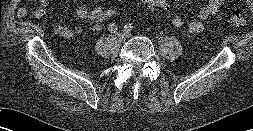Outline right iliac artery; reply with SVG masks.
<instances>
[{"mask_svg": "<svg viewBox=\"0 0 253 131\" xmlns=\"http://www.w3.org/2000/svg\"><path fill=\"white\" fill-rule=\"evenodd\" d=\"M108 30L111 33H115L118 30V25L116 23L112 22V23L109 24Z\"/></svg>", "mask_w": 253, "mask_h": 131, "instance_id": "obj_1", "label": "right iliac artery"}]
</instances>
